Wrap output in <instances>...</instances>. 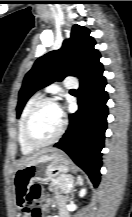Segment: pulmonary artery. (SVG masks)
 <instances>
[{"label": "pulmonary artery", "mask_w": 132, "mask_h": 217, "mask_svg": "<svg viewBox=\"0 0 132 217\" xmlns=\"http://www.w3.org/2000/svg\"><path fill=\"white\" fill-rule=\"evenodd\" d=\"M66 87L74 89L77 88V83L72 79H67L65 82Z\"/></svg>", "instance_id": "obj_1"}]
</instances>
